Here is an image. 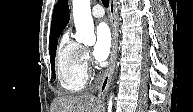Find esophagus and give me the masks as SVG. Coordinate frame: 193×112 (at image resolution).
I'll return each instance as SVG.
<instances>
[{"instance_id": "34e87169", "label": "esophagus", "mask_w": 193, "mask_h": 112, "mask_svg": "<svg viewBox=\"0 0 193 112\" xmlns=\"http://www.w3.org/2000/svg\"><path fill=\"white\" fill-rule=\"evenodd\" d=\"M115 0H110L109 3V16H110V23H111V31H112V48L111 54L109 58V64L106 69V72L103 76V79L100 83L99 90H98V99L104 98V95L108 89L110 84L112 74L115 68V61H116V53H117V21H116V7H115Z\"/></svg>"}]
</instances>
